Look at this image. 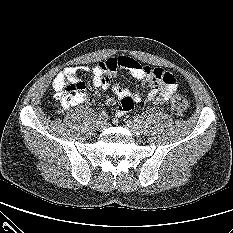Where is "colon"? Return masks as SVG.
Wrapping results in <instances>:
<instances>
[{
  "mask_svg": "<svg viewBox=\"0 0 233 233\" xmlns=\"http://www.w3.org/2000/svg\"><path fill=\"white\" fill-rule=\"evenodd\" d=\"M86 86L84 83H73L65 87L63 96L59 99L62 108L74 105L85 97ZM171 111L176 116H183L188 108L186 98L180 93L173 95L171 99Z\"/></svg>",
  "mask_w": 233,
  "mask_h": 233,
  "instance_id": "obj_1",
  "label": "colon"
}]
</instances>
